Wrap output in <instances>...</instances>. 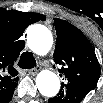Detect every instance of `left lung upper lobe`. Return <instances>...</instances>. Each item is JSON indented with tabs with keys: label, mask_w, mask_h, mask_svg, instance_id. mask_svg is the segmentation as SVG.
<instances>
[{
	"label": "left lung upper lobe",
	"mask_w": 103,
	"mask_h": 103,
	"mask_svg": "<svg viewBox=\"0 0 103 103\" xmlns=\"http://www.w3.org/2000/svg\"><path fill=\"white\" fill-rule=\"evenodd\" d=\"M54 24L57 41L53 57L55 63L62 66L59 72L65 79L58 93L62 96L54 97V102L66 103L62 93L67 87H80L90 92L97 85L101 69L89 40L77 27L57 18Z\"/></svg>",
	"instance_id": "obj_1"
}]
</instances>
